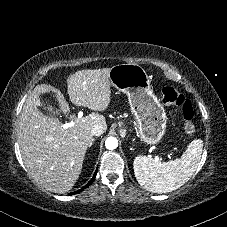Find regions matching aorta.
Returning a JSON list of instances; mask_svg holds the SVG:
<instances>
[{
    "mask_svg": "<svg viewBox=\"0 0 227 227\" xmlns=\"http://www.w3.org/2000/svg\"><path fill=\"white\" fill-rule=\"evenodd\" d=\"M105 146L109 150H114L118 146V140L115 137H108L105 141Z\"/></svg>",
    "mask_w": 227,
    "mask_h": 227,
    "instance_id": "aorta-1",
    "label": "aorta"
}]
</instances>
